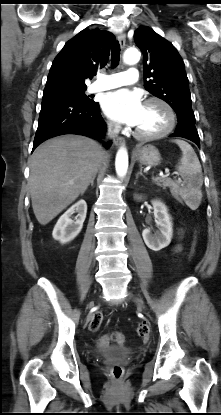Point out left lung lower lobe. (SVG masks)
<instances>
[{
    "instance_id": "1",
    "label": "left lung lower lobe",
    "mask_w": 221,
    "mask_h": 415,
    "mask_svg": "<svg viewBox=\"0 0 221 415\" xmlns=\"http://www.w3.org/2000/svg\"><path fill=\"white\" fill-rule=\"evenodd\" d=\"M170 137L186 138L200 147L199 135L195 127V118L186 117L178 119L177 129Z\"/></svg>"
}]
</instances>
